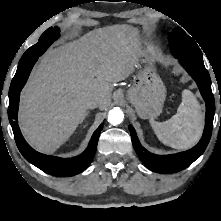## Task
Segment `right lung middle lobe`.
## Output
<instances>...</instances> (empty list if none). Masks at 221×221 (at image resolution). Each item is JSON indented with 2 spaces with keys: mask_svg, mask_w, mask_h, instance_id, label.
<instances>
[{
  "mask_svg": "<svg viewBox=\"0 0 221 221\" xmlns=\"http://www.w3.org/2000/svg\"><path fill=\"white\" fill-rule=\"evenodd\" d=\"M59 36V28L54 27V28H49L47 29L40 37L39 41L37 44L33 45L30 47L25 53L27 54H39V53H44L46 49L58 38ZM11 94L13 93L12 91L10 92Z\"/></svg>",
  "mask_w": 221,
  "mask_h": 221,
  "instance_id": "1",
  "label": "right lung middle lobe"
}]
</instances>
